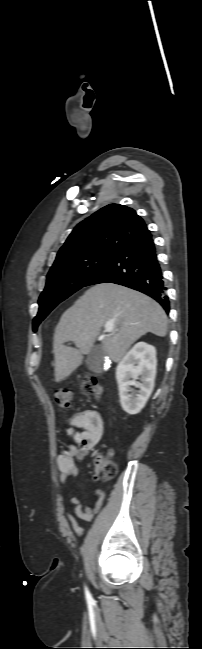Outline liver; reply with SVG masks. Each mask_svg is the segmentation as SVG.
Masks as SVG:
<instances>
[{
	"label": "liver",
	"instance_id": "1",
	"mask_svg": "<svg viewBox=\"0 0 202 649\" xmlns=\"http://www.w3.org/2000/svg\"><path fill=\"white\" fill-rule=\"evenodd\" d=\"M109 324L102 350L118 362L129 347L150 332L167 334V316L151 297L134 289L102 283L88 289L67 309L56 326L53 338L55 382H61L82 364L83 355L93 348L101 328ZM72 341L76 348L64 345Z\"/></svg>",
	"mask_w": 202,
	"mask_h": 649
}]
</instances>
